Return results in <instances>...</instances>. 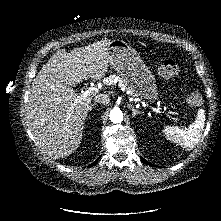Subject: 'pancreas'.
Masks as SVG:
<instances>
[{
    "label": "pancreas",
    "instance_id": "cf45deb5",
    "mask_svg": "<svg viewBox=\"0 0 221 221\" xmlns=\"http://www.w3.org/2000/svg\"><path fill=\"white\" fill-rule=\"evenodd\" d=\"M115 80L118 81V85L122 90H126L125 83L123 82V80L121 78H119L116 75H110L108 78L105 79V83L107 85H112V84H114Z\"/></svg>",
    "mask_w": 221,
    "mask_h": 221
}]
</instances>
